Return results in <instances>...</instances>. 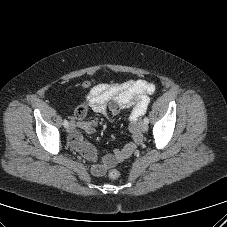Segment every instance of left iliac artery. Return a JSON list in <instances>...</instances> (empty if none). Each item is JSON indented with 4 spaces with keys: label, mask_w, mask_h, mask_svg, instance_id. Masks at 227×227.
<instances>
[{
    "label": "left iliac artery",
    "mask_w": 227,
    "mask_h": 227,
    "mask_svg": "<svg viewBox=\"0 0 227 227\" xmlns=\"http://www.w3.org/2000/svg\"><path fill=\"white\" fill-rule=\"evenodd\" d=\"M144 123H146V124L149 123V119L147 117L144 118Z\"/></svg>",
    "instance_id": "left-iliac-artery-1"
}]
</instances>
